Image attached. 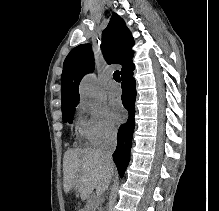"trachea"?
Here are the masks:
<instances>
[{
  "mask_svg": "<svg viewBox=\"0 0 219 211\" xmlns=\"http://www.w3.org/2000/svg\"><path fill=\"white\" fill-rule=\"evenodd\" d=\"M113 78L115 81H117L118 83L121 81V78H120V73L118 70L114 71L113 73Z\"/></svg>",
  "mask_w": 219,
  "mask_h": 211,
  "instance_id": "trachea-1",
  "label": "trachea"
}]
</instances>
